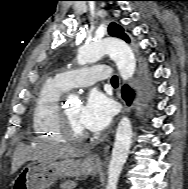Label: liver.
Masks as SVG:
<instances>
[{"mask_svg": "<svg viewBox=\"0 0 188 189\" xmlns=\"http://www.w3.org/2000/svg\"><path fill=\"white\" fill-rule=\"evenodd\" d=\"M84 151L71 145L42 144L25 146L19 144L13 154L11 174H14L28 160L53 161L57 159L82 157Z\"/></svg>", "mask_w": 188, "mask_h": 189, "instance_id": "liver-1", "label": "liver"}]
</instances>
